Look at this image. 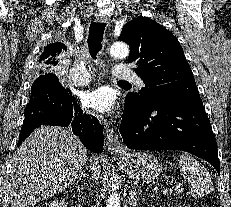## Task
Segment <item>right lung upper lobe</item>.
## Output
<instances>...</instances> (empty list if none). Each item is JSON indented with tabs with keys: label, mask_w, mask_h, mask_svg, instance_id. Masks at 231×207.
Listing matches in <instances>:
<instances>
[{
	"label": "right lung upper lobe",
	"mask_w": 231,
	"mask_h": 207,
	"mask_svg": "<svg viewBox=\"0 0 231 207\" xmlns=\"http://www.w3.org/2000/svg\"><path fill=\"white\" fill-rule=\"evenodd\" d=\"M67 50V47L63 43H54L46 46L41 57L39 59L40 69L45 68L46 65L51 64L60 53Z\"/></svg>",
	"instance_id": "obj_1"
}]
</instances>
